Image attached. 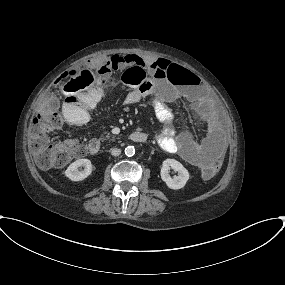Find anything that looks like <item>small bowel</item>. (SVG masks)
I'll return each instance as SVG.
<instances>
[{"label":"small bowel","instance_id":"obj_1","mask_svg":"<svg viewBox=\"0 0 285 285\" xmlns=\"http://www.w3.org/2000/svg\"><path fill=\"white\" fill-rule=\"evenodd\" d=\"M130 64H136L137 60H132L130 56L125 58ZM156 59L145 61L147 70L152 76L153 82L158 85H165L168 77L159 69L154 67L153 63ZM189 76L186 82L189 86L194 85L196 75L182 67ZM112 82L106 79L98 78L91 84H88L79 91H70L65 93L63 103V114L66 121L70 125H79L86 122L90 116L88 108H94L101 102L103 96L108 92ZM149 97L155 110V116L159 122L163 124L162 129L156 135L157 144L166 152L180 154L182 146L184 147L183 157L190 163L201 168L211 165L224 151V137L221 132L213 125V123L205 119L203 126L205 137L198 141L193 134L179 135L175 128V116L169 104L159 99L152 88L147 87L144 91L131 90L125 96V103L135 104L141 99ZM82 119V121H80Z\"/></svg>","mask_w":285,"mask_h":285}]
</instances>
